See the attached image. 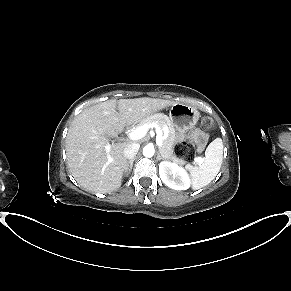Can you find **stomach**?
<instances>
[{"label":"stomach","instance_id":"0dacf381","mask_svg":"<svg viewBox=\"0 0 291 291\" xmlns=\"http://www.w3.org/2000/svg\"><path fill=\"white\" fill-rule=\"evenodd\" d=\"M199 111L191 106L175 103L169 111L170 120L179 133H186L191 130L199 119Z\"/></svg>","mask_w":291,"mask_h":291}]
</instances>
